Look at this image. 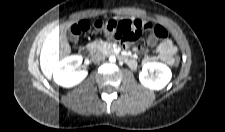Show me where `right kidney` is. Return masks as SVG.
I'll list each match as a JSON object with an SVG mask.
<instances>
[{
  "label": "right kidney",
  "instance_id": "obj_1",
  "mask_svg": "<svg viewBox=\"0 0 225 132\" xmlns=\"http://www.w3.org/2000/svg\"><path fill=\"white\" fill-rule=\"evenodd\" d=\"M82 58L69 56L61 60L54 71V80L64 88H71L81 83L88 75V70L81 69Z\"/></svg>",
  "mask_w": 225,
  "mask_h": 132
}]
</instances>
